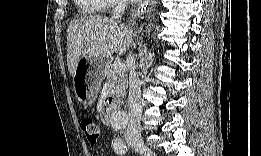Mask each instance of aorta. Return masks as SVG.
Here are the masks:
<instances>
[{"mask_svg": "<svg viewBox=\"0 0 261 156\" xmlns=\"http://www.w3.org/2000/svg\"><path fill=\"white\" fill-rule=\"evenodd\" d=\"M152 26L153 24L151 23L150 20V23L146 27V34L148 33V36L150 35ZM127 123H128V117L123 110H114L112 112L111 125L114 129L121 130L126 127Z\"/></svg>", "mask_w": 261, "mask_h": 156, "instance_id": "aorta-1", "label": "aorta"}]
</instances>
